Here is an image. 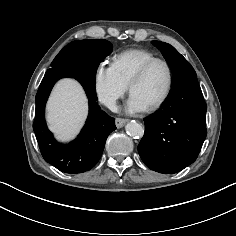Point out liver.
Here are the masks:
<instances>
[{
  "label": "liver",
  "instance_id": "obj_1",
  "mask_svg": "<svg viewBox=\"0 0 236 236\" xmlns=\"http://www.w3.org/2000/svg\"><path fill=\"white\" fill-rule=\"evenodd\" d=\"M49 128L60 140L73 138L81 129L88 113L84 90L72 79L60 80L46 106Z\"/></svg>",
  "mask_w": 236,
  "mask_h": 236
}]
</instances>
